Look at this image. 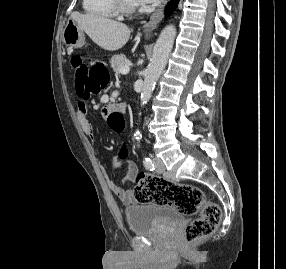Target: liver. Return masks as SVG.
<instances>
[{
	"mask_svg": "<svg viewBox=\"0 0 286 269\" xmlns=\"http://www.w3.org/2000/svg\"><path fill=\"white\" fill-rule=\"evenodd\" d=\"M99 47L107 51L121 49L129 40L130 28L118 21L95 14L73 12L70 16Z\"/></svg>",
	"mask_w": 286,
	"mask_h": 269,
	"instance_id": "liver-1",
	"label": "liver"
}]
</instances>
